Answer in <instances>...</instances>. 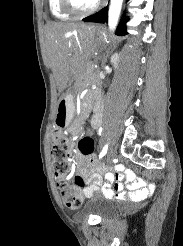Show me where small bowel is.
<instances>
[{"instance_id": "c3829d8e", "label": "small bowel", "mask_w": 183, "mask_h": 246, "mask_svg": "<svg viewBox=\"0 0 183 246\" xmlns=\"http://www.w3.org/2000/svg\"><path fill=\"white\" fill-rule=\"evenodd\" d=\"M71 133L73 135L77 134V129L75 127L71 128ZM70 146L73 150L74 161L77 165V173L85 181L88 180L92 182L91 185H88L83 189V193L86 197L92 196L95 189L98 185L101 184L103 175L95 169L96 157H84L82 152H78V147H75L74 140L70 141ZM122 170H125V174H121ZM132 169H126V165H115V169H112L111 172H106L104 178L107 182L104 183V186L101 187L103 193L107 198H119L127 200H141L144 198H151L152 194L150 189L144 186L145 181L148 179L147 175H140L139 179H135V174H132ZM115 179H125V182L128 183L125 185V188L122 182H112ZM152 190H157V184L155 181L151 182ZM126 189H129L130 192L126 193Z\"/></svg>"}]
</instances>
